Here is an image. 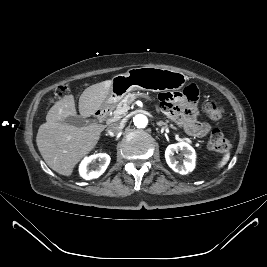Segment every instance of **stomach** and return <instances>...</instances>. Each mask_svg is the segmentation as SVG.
Listing matches in <instances>:
<instances>
[{
  "instance_id": "stomach-1",
  "label": "stomach",
  "mask_w": 267,
  "mask_h": 267,
  "mask_svg": "<svg viewBox=\"0 0 267 267\" xmlns=\"http://www.w3.org/2000/svg\"><path fill=\"white\" fill-rule=\"evenodd\" d=\"M188 77L179 71L157 67L131 68L124 74L112 79L110 92L103 107L119 102L133 90H150L154 92L179 90L187 82Z\"/></svg>"
}]
</instances>
